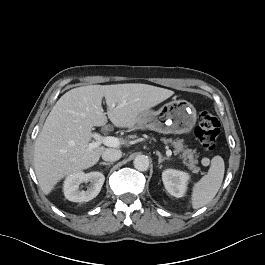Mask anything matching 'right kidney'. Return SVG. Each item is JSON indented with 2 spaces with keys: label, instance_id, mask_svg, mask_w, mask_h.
<instances>
[{
  "label": "right kidney",
  "instance_id": "1",
  "mask_svg": "<svg viewBox=\"0 0 265 265\" xmlns=\"http://www.w3.org/2000/svg\"><path fill=\"white\" fill-rule=\"evenodd\" d=\"M105 181L101 172L84 173L82 171L70 174L64 181L63 191L65 197L72 202H88L95 198ZM90 182L87 190H80L81 183Z\"/></svg>",
  "mask_w": 265,
  "mask_h": 265
}]
</instances>
